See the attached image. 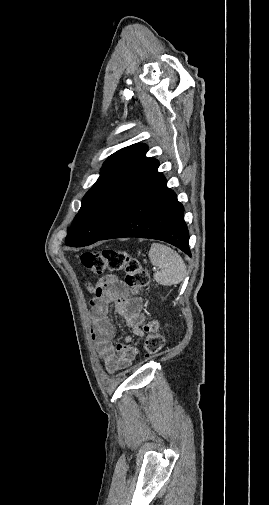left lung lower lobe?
<instances>
[{
	"label": "left lung lower lobe",
	"mask_w": 269,
	"mask_h": 505,
	"mask_svg": "<svg viewBox=\"0 0 269 505\" xmlns=\"http://www.w3.org/2000/svg\"><path fill=\"white\" fill-rule=\"evenodd\" d=\"M159 163L151 158L130 200L109 231L99 240L140 237L168 242L191 256L184 208L167 188L159 173Z\"/></svg>",
	"instance_id": "obj_1"
}]
</instances>
